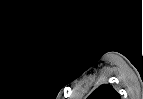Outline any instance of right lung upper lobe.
Instances as JSON below:
<instances>
[{"mask_svg": "<svg viewBox=\"0 0 143 99\" xmlns=\"http://www.w3.org/2000/svg\"><path fill=\"white\" fill-rule=\"evenodd\" d=\"M88 99H121V97L112 85L103 84L94 90Z\"/></svg>", "mask_w": 143, "mask_h": 99, "instance_id": "obj_1", "label": "right lung upper lobe"}]
</instances>
